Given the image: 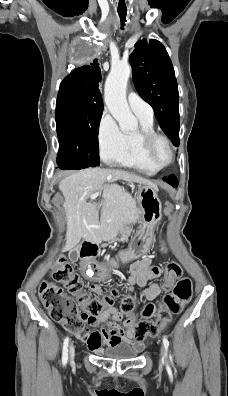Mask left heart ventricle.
Returning a JSON list of instances; mask_svg holds the SVG:
<instances>
[{
	"mask_svg": "<svg viewBox=\"0 0 228 396\" xmlns=\"http://www.w3.org/2000/svg\"><path fill=\"white\" fill-rule=\"evenodd\" d=\"M155 156L160 163H165L169 158V152L166 145L160 142L155 148Z\"/></svg>",
	"mask_w": 228,
	"mask_h": 396,
	"instance_id": "obj_1",
	"label": "left heart ventricle"
}]
</instances>
